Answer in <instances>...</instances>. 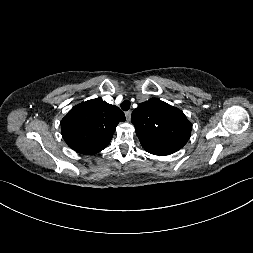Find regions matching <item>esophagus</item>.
I'll use <instances>...</instances> for the list:
<instances>
[{"mask_svg":"<svg viewBox=\"0 0 253 253\" xmlns=\"http://www.w3.org/2000/svg\"><path fill=\"white\" fill-rule=\"evenodd\" d=\"M125 117H126V120L129 121L130 118H131V111H127V112L125 113Z\"/></svg>","mask_w":253,"mask_h":253,"instance_id":"obj_1","label":"esophagus"}]
</instances>
